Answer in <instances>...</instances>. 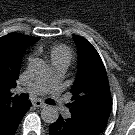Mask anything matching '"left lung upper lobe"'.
<instances>
[{"label": "left lung upper lobe", "instance_id": "5c2ea615", "mask_svg": "<svg viewBox=\"0 0 135 135\" xmlns=\"http://www.w3.org/2000/svg\"><path fill=\"white\" fill-rule=\"evenodd\" d=\"M73 38L78 48L79 66L71 88V119L100 133L112 107L107 73L96 49L83 37Z\"/></svg>", "mask_w": 135, "mask_h": 135}]
</instances>
